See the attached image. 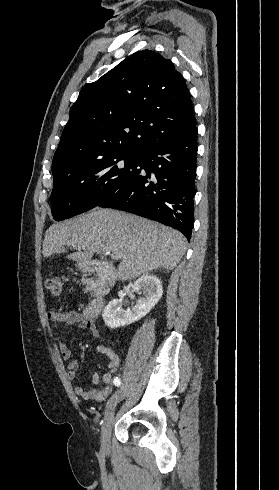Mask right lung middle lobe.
Wrapping results in <instances>:
<instances>
[{
  "label": "right lung middle lobe",
  "instance_id": "right-lung-middle-lobe-1",
  "mask_svg": "<svg viewBox=\"0 0 279 490\" xmlns=\"http://www.w3.org/2000/svg\"><path fill=\"white\" fill-rule=\"evenodd\" d=\"M140 160L141 156L109 152L65 176L53 178V218L61 221L98 206L140 174Z\"/></svg>",
  "mask_w": 279,
  "mask_h": 490
}]
</instances>
